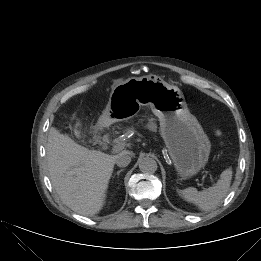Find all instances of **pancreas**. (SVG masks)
I'll return each mask as SVG.
<instances>
[{
  "mask_svg": "<svg viewBox=\"0 0 261 261\" xmlns=\"http://www.w3.org/2000/svg\"><path fill=\"white\" fill-rule=\"evenodd\" d=\"M147 127H148V129H149L150 131H152V132H155L156 129H157L156 124H155L154 122H152V121H150V122L148 123Z\"/></svg>",
  "mask_w": 261,
  "mask_h": 261,
  "instance_id": "1",
  "label": "pancreas"
}]
</instances>
